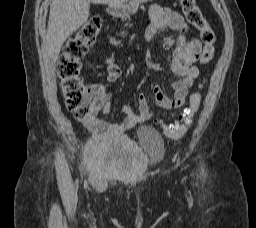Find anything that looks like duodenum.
I'll return each instance as SVG.
<instances>
[{
  "label": "duodenum",
  "instance_id": "1",
  "mask_svg": "<svg viewBox=\"0 0 256 228\" xmlns=\"http://www.w3.org/2000/svg\"><path fill=\"white\" fill-rule=\"evenodd\" d=\"M107 11L111 16L114 17H119L123 14L124 9L122 6L118 5V4H110L107 7Z\"/></svg>",
  "mask_w": 256,
  "mask_h": 228
}]
</instances>
